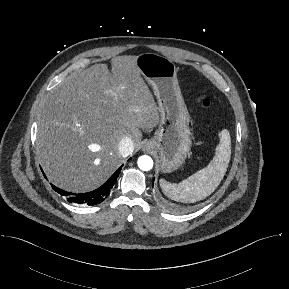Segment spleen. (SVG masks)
<instances>
[{
	"mask_svg": "<svg viewBox=\"0 0 289 289\" xmlns=\"http://www.w3.org/2000/svg\"><path fill=\"white\" fill-rule=\"evenodd\" d=\"M230 156V134L227 130H222L215 156L205 168L178 184L160 179V186L164 194L172 200L185 203L200 201L213 193L218 187L226 173Z\"/></svg>",
	"mask_w": 289,
	"mask_h": 289,
	"instance_id": "1",
	"label": "spleen"
}]
</instances>
